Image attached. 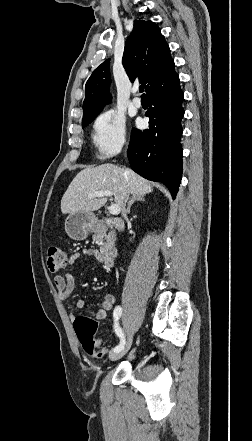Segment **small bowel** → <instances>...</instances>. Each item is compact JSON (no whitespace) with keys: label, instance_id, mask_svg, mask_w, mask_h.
Returning <instances> with one entry per match:
<instances>
[{"label":"small bowel","instance_id":"1","mask_svg":"<svg viewBox=\"0 0 252 441\" xmlns=\"http://www.w3.org/2000/svg\"><path fill=\"white\" fill-rule=\"evenodd\" d=\"M80 255L91 256L94 258H99V252L93 248L82 249L81 252H76L68 259V265L74 264V262L80 257ZM55 287L57 290L58 297L61 300H65L71 296L75 289L74 277L70 274H59L54 278ZM115 296L111 293L104 294L101 298L100 308L95 312L93 317L97 320H102L106 317L108 311L113 309L115 304ZM84 307L83 300H76L70 305V309L73 314L79 312ZM103 339H98L96 344L100 346Z\"/></svg>","mask_w":252,"mask_h":441}]
</instances>
